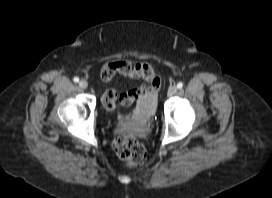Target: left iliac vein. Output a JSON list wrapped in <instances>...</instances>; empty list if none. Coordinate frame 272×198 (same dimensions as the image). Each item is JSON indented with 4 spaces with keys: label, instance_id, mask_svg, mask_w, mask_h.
<instances>
[{
    "label": "left iliac vein",
    "instance_id": "obj_1",
    "mask_svg": "<svg viewBox=\"0 0 272 198\" xmlns=\"http://www.w3.org/2000/svg\"><path fill=\"white\" fill-rule=\"evenodd\" d=\"M177 87L176 86H171L169 89H168V96H173L176 92H177Z\"/></svg>",
    "mask_w": 272,
    "mask_h": 198
}]
</instances>
